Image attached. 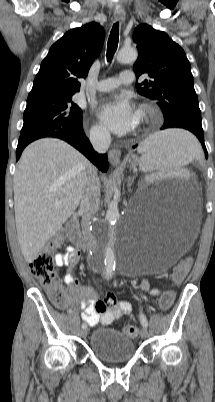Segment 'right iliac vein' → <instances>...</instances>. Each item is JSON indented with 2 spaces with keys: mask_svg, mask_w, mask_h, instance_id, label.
I'll return each instance as SVG.
<instances>
[{
  "mask_svg": "<svg viewBox=\"0 0 215 402\" xmlns=\"http://www.w3.org/2000/svg\"><path fill=\"white\" fill-rule=\"evenodd\" d=\"M87 334H88L87 328H83L81 331V336L85 338L87 336Z\"/></svg>",
  "mask_w": 215,
  "mask_h": 402,
  "instance_id": "obj_1",
  "label": "right iliac vein"
}]
</instances>
